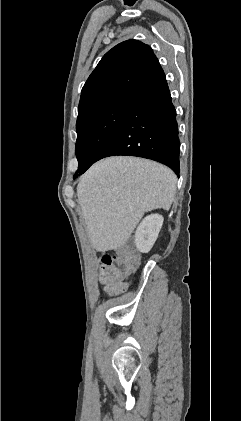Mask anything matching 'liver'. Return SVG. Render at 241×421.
<instances>
[{"label":"liver","instance_id":"6515ba94","mask_svg":"<svg viewBox=\"0 0 241 421\" xmlns=\"http://www.w3.org/2000/svg\"><path fill=\"white\" fill-rule=\"evenodd\" d=\"M177 177L154 161L114 156L92 165L77 186L90 242L99 252L124 246L145 212L169 210Z\"/></svg>","mask_w":241,"mask_h":421}]
</instances>
